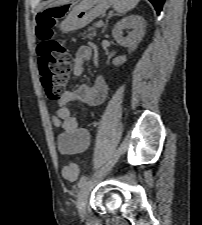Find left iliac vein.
<instances>
[{
  "label": "left iliac vein",
  "mask_w": 202,
  "mask_h": 225,
  "mask_svg": "<svg viewBox=\"0 0 202 225\" xmlns=\"http://www.w3.org/2000/svg\"><path fill=\"white\" fill-rule=\"evenodd\" d=\"M91 189V181H86L77 196V208L81 217L85 215L87 198Z\"/></svg>",
  "instance_id": "1"
}]
</instances>
